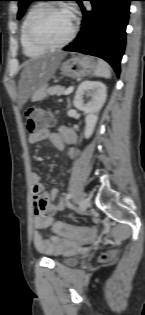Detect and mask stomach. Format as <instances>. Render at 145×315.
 <instances>
[{
	"mask_svg": "<svg viewBox=\"0 0 145 315\" xmlns=\"http://www.w3.org/2000/svg\"><path fill=\"white\" fill-rule=\"evenodd\" d=\"M97 63L90 56H76L66 60L62 66V73L70 78H78L90 75L95 71Z\"/></svg>",
	"mask_w": 145,
	"mask_h": 315,
	"instance_id": "stomach-1",
	"label": "stomach"
}]
</instances>
